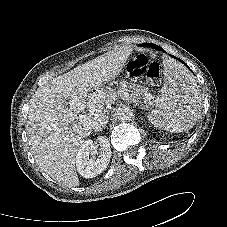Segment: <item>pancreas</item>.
Masks as SVG:
<instances>
[{"instance_id": "1", "label": "pancreas", "mask_w": 227, "mask_h": 227, "mask_svg": "<svg viewBox=\"0 0 227 227\" xmlns=\"http://www.w3.org/2000/svg\"><path fill=\"white\" fill-rule=\"evenodd\" d=\"M120 94H127V100L132 101L133 99H139L141 97L146 98L147 92H145L140 86H136L135 84H130L126 81L120 83L119 87Z\"/></svg>"}]
</instances>
